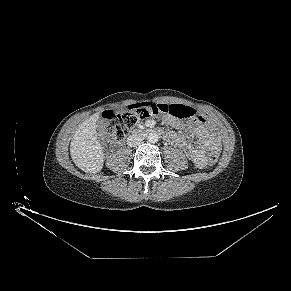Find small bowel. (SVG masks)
<instances>
[{
    "label": "small bowel",
    "mask_w": 291,
    "mask_h": 291,
    "mask_svg": "<svg viewBox=\"0 0 291 291\" xmlns=\"http://www.w3.org/2000/svg\"><path fill=\"white\" fill-rule=\"evenodd\" d=\"M165 121L174 128L186 129L196 134L198 143L193 145L180 133L173 131L162 132L167 141L185 150L188 158L195 166L204 168L207 165V151L216 153L220 151V139L204 118L199 117L191 121H185L168 115ZM146 124L147 126H153L155 121L149 120Z\"/></svg>",
    "instance_id": "obj_1"
}]
</instances>
